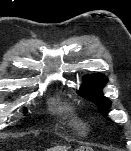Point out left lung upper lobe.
<instances>
[{
	"mask_svg": "<svg viewBox=\"0 0 131 151\" xmlns=\"http://www.w3.org/2000/svg\"><path fill=\"white\" fill-rule=\"evenodd\" d=\"M107 81L108 79L100 73L88 75L84 78V84L78 92L81 96L95 103L104 116L111 106V101L101 93V89Z\"/></svg>",
	"mask_w": 131,
	"mask_h": 151,
	"instance_id": "obj_1",
	"label": "left lung upper lobe"
}]
</instances>
